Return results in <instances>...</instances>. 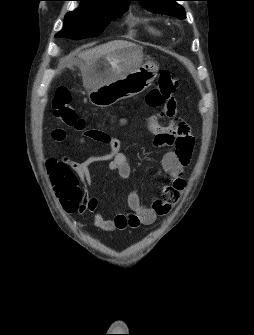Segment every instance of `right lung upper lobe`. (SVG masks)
<instances>
[{
	"label": "right lung upper lobe",
	"instance_id": "1",
	"mask_svg": "<svg viewBox=\"0 0 254 335\" xmlns=\"http://www.w3.org/2000/svg\"><path fill=\"white\" fill-rule=\"evenodd\" d=\"M83 4L129 5L131 0H78Z\"/></svg>",
	"mask_w": 254,
	"mask_h": 335
}]
</instances>
